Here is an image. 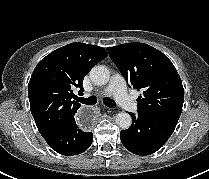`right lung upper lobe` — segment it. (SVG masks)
<instances>
[{"label":"right lung upper lobe","instance_id":"obj_1","mask_svg":"<svg viewBox=\"0 0 209 179\" xmlns=\"http://www.w3.org/2000/svg\"><path fill=\"white\" fill-rule=\"evenodd\" d=\"M107 55L102 47L75 42L51 52L37 64L28 96L43 138L74 117L80 103L73 100V89L79 88V93H83L84 76Z\"/></svg>","mask_w":209,"mask_h":179}]
</instances>
